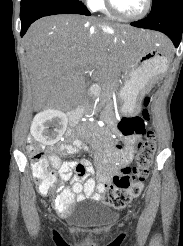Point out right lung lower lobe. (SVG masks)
Returning <instances> with one entry per match:
<instances>
[{"label":"right lung lower lobe","mask_w":183,"mask_h":246,"mask_svg":"<svg viewBox=\"0 0 183 246\" xmlns=\"http://www.w3.org/2000/svg\"><path fill=\"white\" fill-rule=\"evenodd\" d=\"M55 14H82L90 16L88 11L79 0H56L52 3L41 2L21 6V36L25 34L28 27L37 19Z\"/></svg>","instance_id":"right-lung-lower-lobe-1"}]
</instances>
